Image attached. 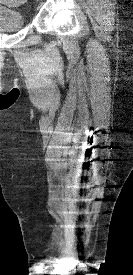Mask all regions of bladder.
<instances>
[{
    "mask_svg": "<svg viewBox=\"0 0 133 275\" xmlns=\"http://www.w3.org/2000/svg\"><path fill=\"white\" fill-rule=\"evenodd\" d=\"M25 25L26 19L20 10L0 4V32L17 31Z\"/></svg>",
    "mask_w": 133,
    "mask_h": 275,
    "instance_id": "obj_1",
    "label": "bladder"
}]
</instances>
